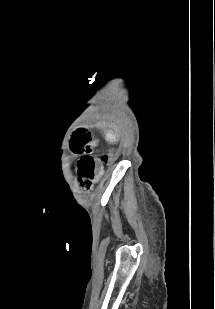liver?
<instances>
[{"label": "liver", "mask_w": 215, "mask_h": 309, "mask_svg": "<svg viewBox=\"0 0 215 309\" xmlns=\"http://www.w3.org/2000/svg\"><path fill=\"white\" fill-rule=\"evenodd\" d=\"M107 138H109V140H116V136L112 134V132H107Z\"/></svg>", "instance_id": "liver-1"}]
</instances>
